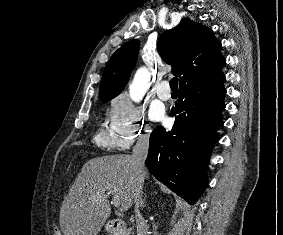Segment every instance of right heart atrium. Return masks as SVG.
<instances>
[{"label":"right heart atrium","instance_id":"d8ad5b80","mask_svg":"<svg viewBox=\"0 0 283 235\" xmlns=\"http://www.w3.org/2000/svg\"><path fill=\"white\" fill-rule=\"evenodd\" d=\"M109 131L114 146L127 150L135 142L146 141L150 137L151 127L139 107L128 97L119 96L111 106Z\"/></svg>","mask_w":283,"mask_h":235}]
</instances>
